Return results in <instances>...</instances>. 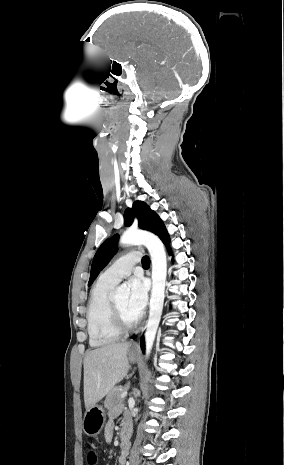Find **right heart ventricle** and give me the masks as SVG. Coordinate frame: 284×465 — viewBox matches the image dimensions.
I'll return each mask as SVG.
<instances>
[{"label": "right heart ventricle", "mask_w": 284, "mask_h": 465, "mask_svg": "<svg viewBox=\"0 0 284 465\" xmlns=\"http://www.w3.org/2000/svg\"><path fill=\"white\" fill-rule=\"evenodd\" d=\"M114 284L99 279L90 291L86 307L87 333L90 346H110L119 339L111 321L109 291Z\"/></svg>", "instance_id": "1"}]
</instances>
